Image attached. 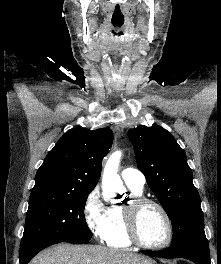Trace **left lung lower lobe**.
<instances>
[{
    "mask_svg": "<svg viewBox=\"0 0 221 264\" xmlns=\"http://www.w3.org/2000/svg\"><path fill=\"white\" fill-rule=\"evenodd\" d=\"M144 254L159 258H185L195 264H210V252L206 239L186 240L171 245L162 251H141Z\"/></svg>",
    "mask_w": 221,
    "mask_h": 264,
    "instance_id": "obj_1",
    "label": "left lung lower lobe"
}]
</instances>
